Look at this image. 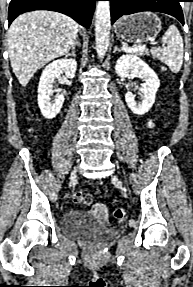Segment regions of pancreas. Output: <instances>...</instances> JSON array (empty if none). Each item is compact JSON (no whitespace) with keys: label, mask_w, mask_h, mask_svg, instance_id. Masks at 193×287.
I'll return each mask as SVG.
<instances>
[{"label":"pancreas","mask_w":193,"mask_h":287,"mask_svg":"<svg viewBox=\"0 0 193 287\" xmlns=\"http://www.w3.org/2000/svg\"><path fill=\"white\" fill-rule=\"evenodd\" d=\"M133 53L139 56H144L148 54V51L146 49H140V50L134 51Z\"/></svg>","instance_id":"cf45deb5"}]
</instances>
